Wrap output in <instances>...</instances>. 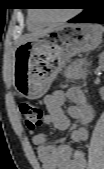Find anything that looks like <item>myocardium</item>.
I'll return each instance as SVG.
<instances>
[{
	"instance_id": "f54148a6",
	"label": "myocardium",
	"mask_w": 104,
	"mask_h": 169,
	"mask_svg": "<svg viewBox=\"0 0 104 169\" xmlns=\"http://www.w3.org/2000/svg\"><path fill=\"white\" fill-rule=\"evenodd\" d=\"M73 16H74V12H70V13H68V14H66V15L58 18V19H55V20H46L41 16H36V17L43 24H56V23L65 22V21L71 19Z\"/></svg>"
}]
</instances>
